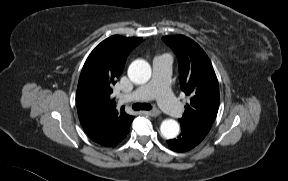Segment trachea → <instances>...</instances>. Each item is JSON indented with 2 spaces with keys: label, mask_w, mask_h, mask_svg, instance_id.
<instances>
[{
  "label": "trachea",
  "mask_w": 288,
  "mask_h": 181,
  "mask_svg": "<svg viewBox=\"0 0 288 181\" xmlns=\"http://www.w3.org/2000/svg\"><path fill=\"white\" fill-rule=\"evenodd\" d=\"M133 110L135 111H139V110H151L152 106L150 104L147 103H135L132 105Z\"/></svg>",
  "instance_id": "trachea-1"
}]
</instances>
